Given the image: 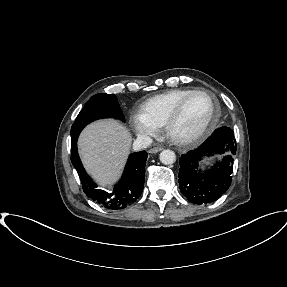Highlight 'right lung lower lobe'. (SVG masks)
<instances>
[{"label":"right lung lower lobe","mask_w":287,"mask_h":287,"mask_svg":"<svg viewBox=\"0 0 287 287\" xmlns=\"http://www.w3.org/2000/svg\"><path fill=\"white\" fill-rule=\"evenodd\" d=\"M77 139L71 141V162L82 183L85 194L109 210H119L134 203L142 193L145 180L147 152L140 151L129 156L121 180L113 191L99 189L86 173L77 152Z\"/></svg>","instance_id":"98d812e1"}]
</instances>
